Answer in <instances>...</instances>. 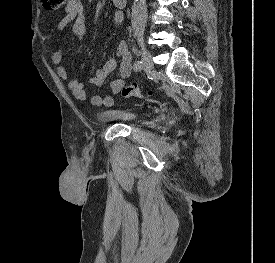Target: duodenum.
I'll return each instance as SVG.
<instances>
[{
  "mask_svg": "<svg viewBox=\"0 0 275 263\" xmlns=\"http://www.w3.org/2000/svg\"><path fill=\"white\" fill-rule=\"evenodd\" d=\"M115 6L123 8L127 4V0H112Z\"/></svg>",
  "mask_w": 275,
  "mask_h": 263,
  "instance_id": "obj_1",
  "label": "duodenum"
}]
</instances>
